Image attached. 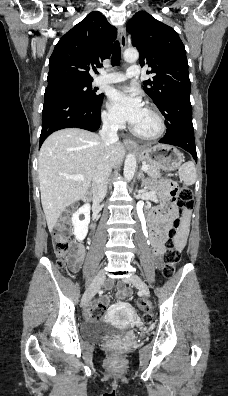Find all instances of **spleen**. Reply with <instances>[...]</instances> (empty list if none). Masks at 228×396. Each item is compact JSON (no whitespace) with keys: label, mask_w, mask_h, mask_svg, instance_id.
Instances as JSON below:
<instances>
[{"label":"spleen","mask_w":228,"mask_h":396,"mask_svg":"<svg viewBox=\"0 0 228 396\" xmlns=\"http://www.w3.org/2000/svg\"><path fill=\"white\" fill-rule=\"evenodd\" d=\"M179 175L181 176L185 185L190 186L196 181V168L193 162H186L179 168Z\"/></svg>","instance_id":"1"}]
</instances>
